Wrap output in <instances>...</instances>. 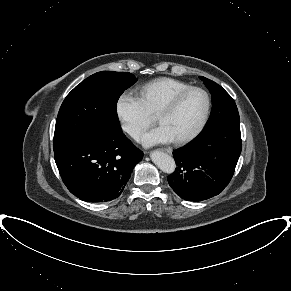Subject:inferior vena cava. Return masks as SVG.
<instances>
[{
    "instance_id": "602c4592",
    "label": "inferior vena cava",
    "mask_w": 291,
    "mask_h": 291,
    "mask_svg": "<svg viewBox=\"0 0 291 291\" xmlns=\"http://www.w3.org/2000/svg\"><path fill=\"white\" fill-rule=\"evenodd\" d=\"M129 134L133 137H138L140 135V130L137 128H130Z\"/></svg>"
}]
</instances>
